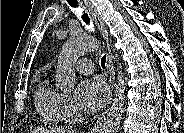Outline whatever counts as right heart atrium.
<instances>
[{
    "instance_id": "1",
    "label": "right heart atrium",
    "mask_w": 184,
    "mask_h": 133,
    "mask_svg": "<svg viewBox=\"0 0 184 133\" xmlns=\"http://www.w3.org/2000/svg\"><path fill=\"white\" fill-rule=\"evenodd\" d=\"M60 109L63 120H71L76 115L74 104L68 95H61Z\"/></svg>"
}]
</instances>
